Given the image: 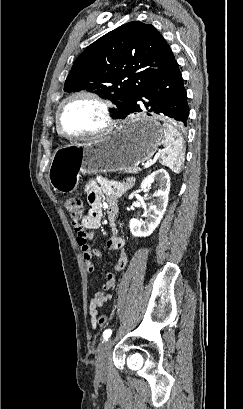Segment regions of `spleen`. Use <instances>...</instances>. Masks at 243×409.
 <instances>
[{
	"mask_svg": "<svg viewBox=\"0 0 243 409\" xmlns=\"http://www.w3.org/2000/svg\"><path fill=\"white\" fill-rule=\"evenodd\" d=\"M164 150L160 156V163L169 167L174 173L178 174L182 170L184 162V144L180 132L169 122L163 124Z\"/></svg>",
	"mask_w": 243,
	"mask_h": 409,
	"instance_id": "3e777b00",
	"label": "spleen"
}]
</instances>
